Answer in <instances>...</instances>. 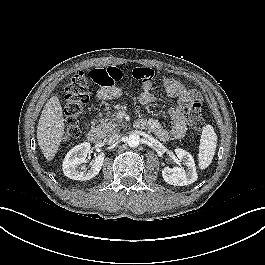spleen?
<instances>
[{"label": "spleen", "instance_id": "spleen-1", "mask_svg": "<svg viewBox=\"0 0 265 265\" xmlns=\"http://www.w3.org/2000/svg\"><path fill=\"white\" fill-rule=\"evenodd\" d=\"M217 145V135L211 125L203 127L199 145V167L200 169L207 168L214 157Z\"/></svg>", "mask_w": 265, "mask_h": 265}]
</instances>
